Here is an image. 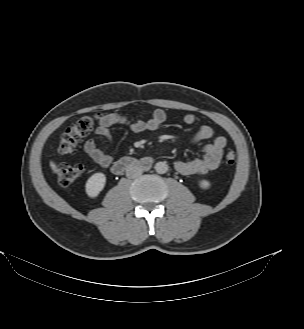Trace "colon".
Instances as JSON below:
<instances>
[{"label": "colon", "instance_id": "colon-1", "mask_svg": "<svg viewBox=\"0 0 304 329\" xmlns=\"http://www.w3.org/2000/svg\"><path fill=\"white\" fill-rule=\"evenodd\" d=\"M100 119L99 114L92 116H83L76 120L61 135L58 151L61 154H74L77 151L78 142L86 136L93 128L94 124ZM227 164H234L236 161V153L233 149H228L225 154ZM55 171L57 173L58 182L61 186H69L83 173V167L79 164L69 165L65 163H56Z\"/></svg>", "mask_w": 304, "mask_h": 329}]
</instances>
